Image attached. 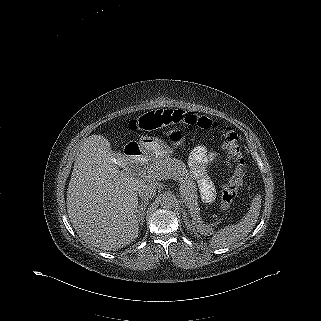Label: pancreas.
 Returning <instances> with one entry per match:
<instances>
[{
  "mask_svg": "<svg viewBox=\"0 0 321 321\" xmlns=\"http://www.w3.org/2000/svg\"><path fill=\"white\" fill-rule=\"evenodd\" d=\"M148 169L157 170L166 178L175 177L180 182L181 194L188 212L194 220H198L200 208L197 201L196 185L192 175L187 171L186 165L181 160L166 157L154 160L153 163L148 165Z\"/></svg>",
  "mask_w": 321,
  "mask_h": 321,
  "instance_id": "pancreas-1",
  "label": "pancreas"
}]
</instances>
